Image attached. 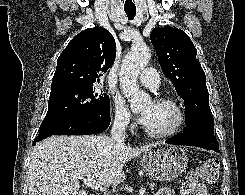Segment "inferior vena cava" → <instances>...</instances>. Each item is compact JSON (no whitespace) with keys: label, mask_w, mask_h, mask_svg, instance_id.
I'll return each mask as SVG.
<instances>
[{"label":"inferior vena cava","mask_w":245,"mask_h":195,"mask_svg":"<svg viewBox=\"0 0 245 195\" xmlns=\"http://www.w3.org/2000/svg\"><path fill=\"white\" fill-rule=\"evenodd\" d=\"M126 125L127 122L124 118L122 117L115 118L110 132L111 140H113L115 143L119 145L124 144Z\"/></svg>","instance_id":"602c4592"}]
</instances>
